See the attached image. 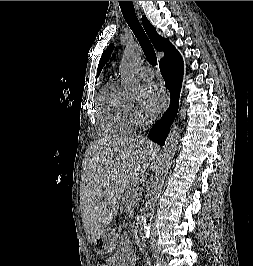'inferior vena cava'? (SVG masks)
I'll return each instance as SVG.
<instances>
[{"instance_id": "obj_1", "label": "inferior vena cava", "mask_w": 253, "mask_h": 266, "mask_svg": "<svg viewBox=\"0 0 253 266\" xmlns=\"http://www.w3.org/2000/svg\"><path fill=\"white\" fill-rule=\"evenodd\" d=\"M148 125L149 124H152V119L151 120H148L146 122ZM150 238H151V243H152V246H153V256L154 258L157 260V261H162L163 260V256L161 254V252L157 249V246H156V231L154 229H151L150 231Z\"/></svg>"}]
</instances>
